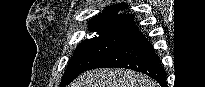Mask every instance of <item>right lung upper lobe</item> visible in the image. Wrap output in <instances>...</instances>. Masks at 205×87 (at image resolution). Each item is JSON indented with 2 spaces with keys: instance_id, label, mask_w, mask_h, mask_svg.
<instances>
[{
  "instance_id": "obj_1",
  "label": "right lung upper lobe",
  "mask_w": 205,
  "mask_h": 87,
  "mask_svg": "<svg viewBox=\"0 0 205 87\" xmlns=\"http://www.w3.org/2000/svg\"><path fill=\"white\" fill-rule=\"evenodd\" d=\"M128 4L119 3L105 8L89 22V30L92 32L115 31L125 32L134 35L139 32L134 23L133 15L118 14L123 9H127Z\"/></svg>"
}]
</instances>
